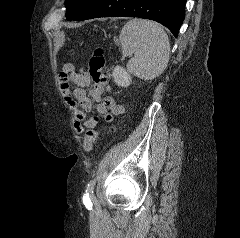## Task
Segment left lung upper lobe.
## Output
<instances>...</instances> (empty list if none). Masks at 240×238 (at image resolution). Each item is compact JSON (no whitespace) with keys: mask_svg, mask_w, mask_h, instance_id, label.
Instances as JSON below:
<instances>
[{"mask_svg":"<svg viewBox=\"0 0 240 238\" xmlns=\"http://www.w3.org/2000/svg\"><path fill=\"white\" fill-rule=\"evenodd\" d=\"M91 0H66V18L67 20H73L79 16Z\"/></svg>","mask_w":240,"mask_h":238,"instance_id":"left-lung-upper-lobe-1","label":"left lung upper lobe"}]
</instances>
